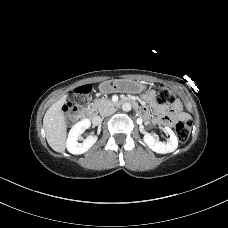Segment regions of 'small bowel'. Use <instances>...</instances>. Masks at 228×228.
Listing matches in <instances>:
<instances>
[{
    "instance_id": "obj_1",
    "label": "small bowel",
    "mask_w": 228,
    "mask_h": 228,
    "mask_svg": "<svg viewBox=\"0 0 228 228\" xmlns=\"http://www.w3.org/2000/svg\"><path fill=\"white\" fill-rule=\"evenodd\" d=\"M144 99L151 104L155 103V95L152 91L147 92L144 95ZM160 114L156 116L154 119L157 121H161L166 124H173L177 119H187V114L183 111L182 104L180 101H175L168 112L167 107H159ZM140 112L146 116L148 114V110L145 107L140 108Z\"/></svg>"
}]
</instances>
